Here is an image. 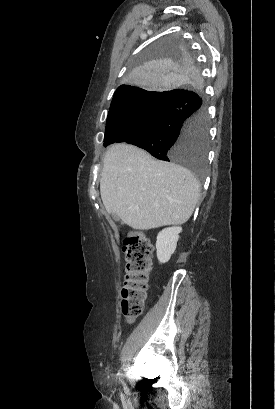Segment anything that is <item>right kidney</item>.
Wrapping results in <instances>:
<instances>
[{"label":"right kidney","instance_id":"obj_1","mask_svg":"<svg viewBox=\"0 0 275 409\" xmlns=\"http://www.w3.org/2000/svg\"><path fill=\"white\" fill-rule=\"evenodd\" d=\"M181 231L182 227H169V229H163L158 233L156 249L159 263H168L171 259V255L175 253Z\"/></svg>","mask_w":275,"mask_h":409}]
</instances>
